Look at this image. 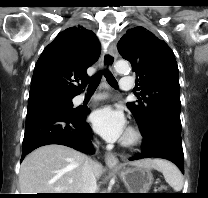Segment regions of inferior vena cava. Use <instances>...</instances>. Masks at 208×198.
<instances>
[{
  "label": "inferior vena cava",
  "instance_id": "obj_1",
  "mask_svg": "<svg viewBox=\"0 0 208 198\" xmlns=\"http://www.w3.org/2000/svg\"><path fill=\"white\" fill-rule=\"evenodd\" d=\"M93 165L94 161L91 158H86L82 168L78 193H96L97 183Z\"/></svg>",
  "mask_w": 208,
  "mask_h": 198
}]
</instances>
